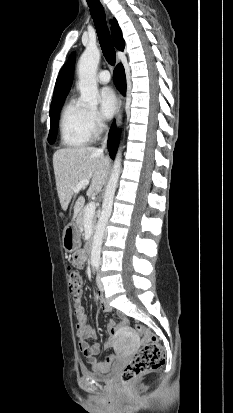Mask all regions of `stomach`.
<instances>
[{
	"instance_id": "obj_1",
	"label": "stomach",
	"mask_w": 233,
	"mask_h": 413,
	"mask_svg": "<svg viewBox=\"0 0 233 413\" xmlns=\"http://www.w3.org/2000/svg\"><path fill=\"white\" fill-rule=\"evenodd\" d=\"M80 229L77 224L67 226L63 233V247L67 252H73L79 247Z\"/></svg>"
}]
</instances>
